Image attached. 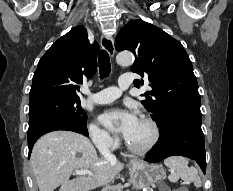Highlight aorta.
<instances>
[{
  "label": "aorta",
  "mask_w": 233,
  "mask_h": 191,
  "mask_svg": "<svg viewBox=\"0 0 233 191\" xmlns=\"http://www.w3.org/2000/svg\"><path fill=\"white\" fill-rule=\"evenodd\" d=\"M116 61L119 65L129 66L132 65L134 62V56L129 51H122L118 53L116 57Z\"/></svg>",
  "instance_id": "obj_1"
}]
</instances>
